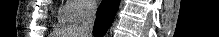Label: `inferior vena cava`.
I'll return each instance as SVG.
<instances>
[{
	"instance_id": "602c4592",
	"label": "inferior vena cava",
	"mask_w": 219,
	"mask_h": 37,
	"mask_svg": "<svg viewBox=\"0 0 219 37\" xmlns=\"http://www.w3.org/2000/svg\"><path fill=\"white\" fill-rule=\"evenodd\" d=\"M96 12H97L96 6H89L86 8L84 12L82 24L78 29V35L80 37H92L93 26L96 19Z\"/></svg>"
}]
</instances>
